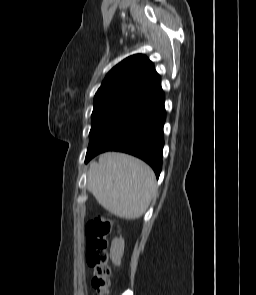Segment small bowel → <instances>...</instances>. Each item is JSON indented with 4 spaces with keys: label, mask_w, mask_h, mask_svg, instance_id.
<instances>
[{
    "label": "small bowel",
    "mask_w": 256,
    "mask_h": 295,
    "mask_svg": "<svg viewBox=\"0 0 256 295\" xmlns=\"http://www.w3.org/2000/svg\"><path fill=\"white\" fill-rule=\"evenodd\" d=\"M123 243L120 239H115L112 243L111 254L113 261L118 263L122 256Z\"/></svg>",
    "instance_id": "small-bowel-1"
}]
</instances>
